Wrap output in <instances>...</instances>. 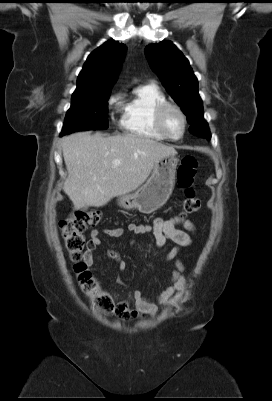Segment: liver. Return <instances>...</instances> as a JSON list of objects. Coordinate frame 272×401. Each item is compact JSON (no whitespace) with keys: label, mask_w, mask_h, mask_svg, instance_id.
I'll return each instance as SVG.
<instances>
[{"label":"liver","mask_w":272,"mask_h":401,"mask_svg":"<svg viewBox=\"0 0 272 401\" xmlns=\"http://www.w3.org/2000/svg\"><path fill=\"white\" fill-rule=\"evenodd\" d=\"M68 177L63 190L75 209L101 207L138 189L161 158L177 151L137 135L104 136L78 132L62 139ZM114 160H120L117 167Z\"/></svg>","instance_id":"1"}]
</instances>
